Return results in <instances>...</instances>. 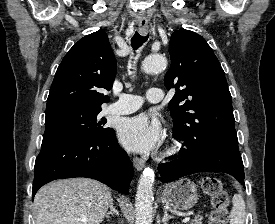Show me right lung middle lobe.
Instances as JSON below:
<instances>
[{"label":"right lung middle lobe","mask_w":275,"mask_h":224,"mask_svg":"<svg viewBox=\"0 0 275 224\" xmlns=\"http://www.w3.org/2000/svg\"><path fill=\"white\" fill-rule=\"evenodd\" d=\"M101 109L66 107L46 113L43 139H98L109 133L106 120L98 117Z\"/></svg>","instance_id":"1"}]
</instances>
